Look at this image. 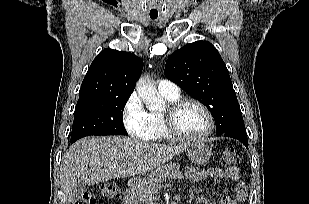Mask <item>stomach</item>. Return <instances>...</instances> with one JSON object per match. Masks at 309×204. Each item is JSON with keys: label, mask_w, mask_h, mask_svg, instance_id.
<instances>
[{"label": "stomach", "mask_w": 309, "mask_h": 204, "mask_svg": "<svg viewBox=\"0 0 309 204\" xmlns=\"http://www.w3.org/2000/svg\"><path fill=\"white\" fill-rule=\"evenodd\" d=\"M211 152V148L203 141H195L187 149L189 160L196 165L207 162L211 156Z\"/></svg>", "instance_id": "obj_1"}]
</instances>
